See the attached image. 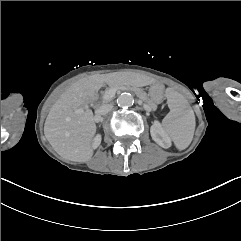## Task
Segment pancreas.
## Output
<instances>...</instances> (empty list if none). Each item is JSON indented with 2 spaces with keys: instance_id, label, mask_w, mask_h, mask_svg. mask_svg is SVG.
Returning <instances> with one entry per match:
<instances>
[{
  "instance_id": "obj_1",
  "label": "pancreas",
  "mask_w": 241,
  "mask_h": 241,
  "mask_svg": "<svg viewBox=\"0 0 241 241\" xmlns=\"http://www.w3.org/2000/svg\"><path fill=\"white\" fill-rule=\"evenodd\" d=\"M113 87H114L115 89L122 87V88H124V89H127V91L136 92L137 97H139L140 99H142L143 103H145V104L147 105L148 110H150V111L155 110L156 105H155V103H154L153 98H151L150 96H148L147 92H145L144 90H142V89L137 90V87H132V86H120L119 84H118V85H115V86H113ZM106 91H108V90H106ZM104 95H105V94H104ZM103 100H104L105 102H109V101L112 100V98H111V99H104V96H103Z\"/></svg>"
}]
</instances>
